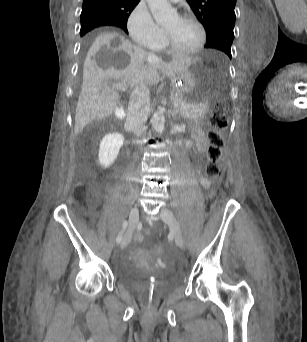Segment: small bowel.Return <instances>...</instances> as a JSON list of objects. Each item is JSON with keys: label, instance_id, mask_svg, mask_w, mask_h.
<instances>
[{"label": "small bowel", "instance_id": "c3829d8e", "mask_svg": "<svg viewBox=\"0 0 307 342\" xmlns=\"http://www.w3.org/2000/svg\"><path fill=\"white\" fill-rule=\"evenodd\" d=\"M192 137L196 142L198 150L200 152H204L207 148L208 142H207L206 136H205L204 132L202 131V129L199 127H194L192 129ZM191 144H192V142L188 141L186 143V146L190 147ZM198 175H199L201 183L205 186L208 185V180L200 173V171H198ZM138 240H140V238H138Z\"/></svg>", "mask_w": 307, "mask_h": 342}]
</instances>
